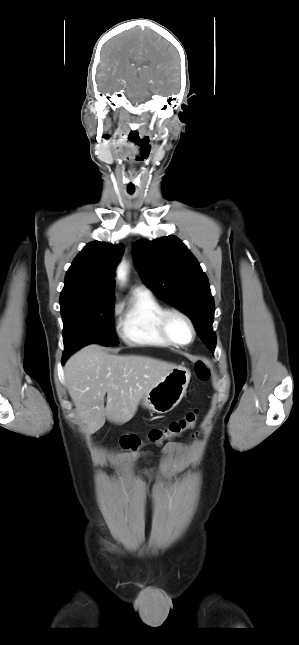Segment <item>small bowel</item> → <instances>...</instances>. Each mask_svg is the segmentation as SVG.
<instances>
[{
    "label": "small bowel",
    "instance_id": "small-bowel-1",
    "mask_svg": "<svg viewBox=\"0 0 299 645\" xmlns=\"http://www.w3.org/2000/svg\"><path fill=\"white\" fill-rule=\"evenodd\" d=\"M186 451H187V447L181 443L169 444L163 449V453L184 454ZM151 456L152 454L150 452H144L142 454L132 456L131 460H136L139 458L149 460Z\"/></svg>",
    "mask_w": 299,
    "mask_h": 645
}]
</instances>
